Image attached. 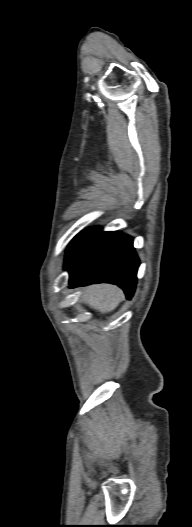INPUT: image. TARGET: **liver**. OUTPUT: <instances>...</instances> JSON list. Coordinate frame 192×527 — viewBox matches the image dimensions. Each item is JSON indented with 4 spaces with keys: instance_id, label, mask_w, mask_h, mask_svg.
Returning <instances> with one entry per match:
<instances>
[{
    "instance_id": "1",
    "label": "liver",
    "mask_w": 192,
    "mask_h": 527,
    "mask_svg": "<svg viewBox=\"0 0 192 527\" xmlns=\"http://www.w3.org/2000/svg\"><path fill=\"white\" fill-rule=\"evenodd\" d=\"M122 295V290L115 285L97 284L87 287L84 300L92 309L108 313L118 306Z\"/></svg>"
}]
</instances>
